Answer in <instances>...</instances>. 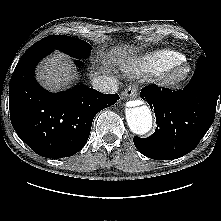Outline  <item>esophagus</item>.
<instances>
[{
    "label": "esophagus",
    "mask_w": 221,
    "mask_h": 221,
    "mask_svg": "<svg viewBox=\"0 0 221 221\" xmlns=\"http://www.w3.org/2000/svg\"><path fill=\"white\" fill-rule=\"evenodd\" d=\"M137 92L138 88L136 85H132L127 87L123 92H122V97L123 98H136L137 97Z\"/></svg>",
    "instance_id": "esophagus-1"
}]
</instances>
